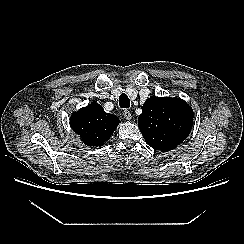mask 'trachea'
Listing matches in <instances>:
<instances>
[{
    "instance_id": "3493384b",
    "label": "trachea",
    "mask_w": 244,
    "mask_h": 244,
    "mask_svg": "<svg viewBox=\"0 0 244 244\" xmlns=\"http://www.w3.org/2000/svg\"><path fill=\"white\" fill-rule=\"evenodd\" d=\"M119 105L121 108H129L130 100L126 94H121L119 97Z\"/></svg>"
}]
</instances>
